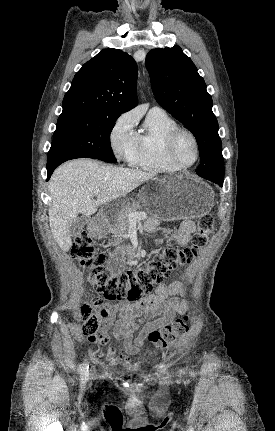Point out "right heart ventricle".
<instances>
[{"mask_svg":"<svg viewBox=\"0 0 275 431\" xmlns=\"http://www.w3.org/2000/svg\"><path fill=\"white\" fill-rule=\"evenodd\" d=\"M178 127L177 122L160 108H151L137 133V151L132 166L155 173L178 170L166 157L168 135Z\"/></svg>","mask_w":275,"mask_h":431,"instance_id":"e07e8e85","label":"right heart ventricle"}]
</instances>
